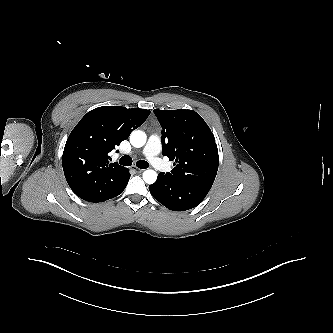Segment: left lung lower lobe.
Segmentation results:
<instances>
[{
	"mask_svg": "<svg viewBox=\"0 0 333 333\" xmlns=\"http://www.w3.org/2000/svg\"><path fill=\"white\" fill-rule=\"evenodd\" d=\"M151 195L174 211H185L199 205L208 194V188L180 183L167 173H159L157 181L149 186Z\"/></svg>",
	"mask_w": 333,
	"mask_h": 333,
	"instance_id": "obj_1",
	"label": "left lung lower lobe"
}]
</instances>
